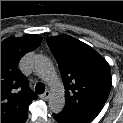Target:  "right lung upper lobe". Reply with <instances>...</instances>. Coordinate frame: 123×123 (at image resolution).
Here are the masks:
<instances>
[{
	"label": "right lung upper lobe",
	"mask_w": 123,
	"mask_h": 123,
	"mask_svg": "<svg viewBox=\"0 0 123 123\" xmlns=\"http://www.w3.org/2000/svg\"><path fill=\"white\" fill-rule=\"evenodd\" d=\"M42 38L26 34L9 37L1 42V123H25L28 106L37 96L30 92L17 65L27 52L35 50Z\"/></svg>",
	"instance_id": "1"
}]
</instances>
